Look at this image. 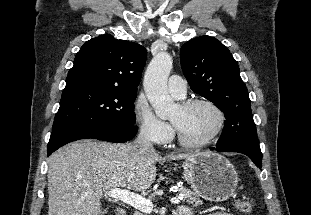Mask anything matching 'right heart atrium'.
<instances>
[{"mask_svg": "<svg viewBox=\"0 0 311 215\" xmlns=\"http://www.w3.org/2000/svg\"><path fill=\"white\" fill-rule=\"evenodd\" d=\"M133 116L140 133L148 140L163 144L171 139V127L156 116L143 95H139L134 101Z\"/></svg>", "mask_w": 311, "mask_h": 215, "instance_id": "d8ad5b80", "label": "right heart atrium"}]
</instances>
